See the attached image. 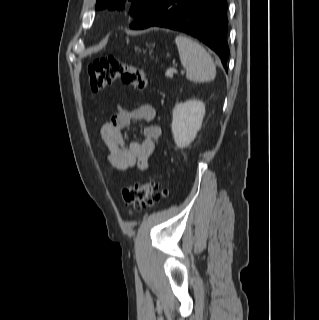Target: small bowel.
Here are the masks:
<instances>
[{
    "label": "small bowel",
    "instance_id": "small-bowel-1",
    "mask_svg": "<svg viewBox=\"0 0 319 320\" xmlns=\"http://www.w3.org/2000/svg\"><path fill=\"white\" fill-rule=\"evenodd\" d=\"M155 116V109L148 104L133 109L120 107L108 122L101 125L99 136L108 149L106 162L111 168L117 171H124L134 166L141 170L147 168L148 160L155 152L161 137V128L151 123ZM133 120H144L149 124L145 126L140 142L126 144L122 130Z\"/></svg>",
    "mask_w": 319,
    "mask_h": 320
}]
</instances>
